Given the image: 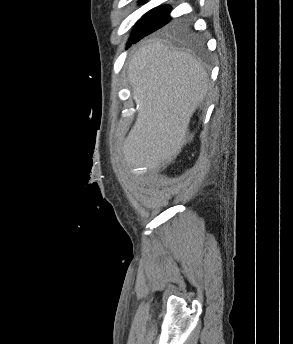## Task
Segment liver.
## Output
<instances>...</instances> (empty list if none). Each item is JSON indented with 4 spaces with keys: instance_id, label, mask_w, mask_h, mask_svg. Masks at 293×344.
<instances>
[{
    "instance_id": "obj_1",
    "label": "liver",
    "mask_w": 293,
    "mask_h": 344,
    "mask_svg": "<svg viewBox=\"0 0 293 344\" xmlns=\"http://www.w3.org/2000/svg\"><path fill=\"white\" fill-rule=\"evenodd\" d=\"M127 75L138 116L123 144L124 160L131 167L158 170L180 153L209 77L194 57L161 41L136 51Z\"/></svg>"
}]
</instances>
